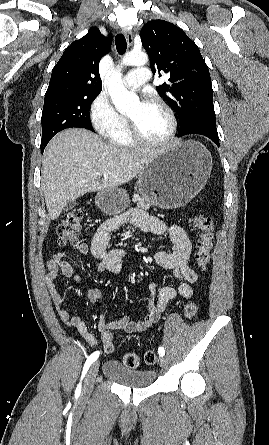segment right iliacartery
<instances>
[{
    "label": "right iliac artery",
    "mask_w": 269,
    "mask_h": 445,
    "mask_svg": "<svg viewBox=\"0 0 269 445\" xmlns=\"http://www.w3.org/2000/svg\"><path fill=\"white\" fill-rule=\"evenodd\" d=\"M100 352L99 351H95L93 352L88 359L86 360L84 367H83V371H82V377H81V381L84 378L85 374L87 373L89 367L91 366V364L97 360V358L99 357ZM76 391L79 393L81 391V382L79 383Z\"/></svg>",
    "instance_id": "right-iliac-artery-1"
}]
</instances>
